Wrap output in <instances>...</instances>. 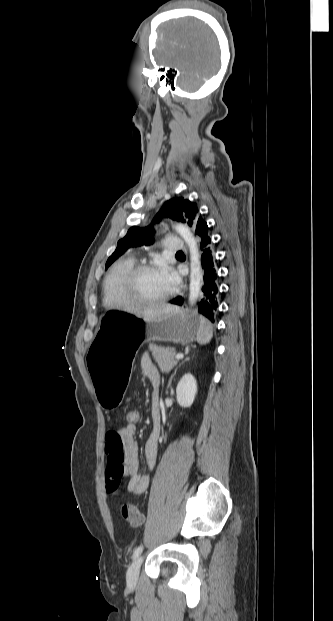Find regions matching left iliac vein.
<instances>
[{
	"instance_id": "1",
	"label": "left iliac vein",
	"mask_w": 333,
	"mask_h": 621,
	"mask_svg": "<svg viewBox=\"0 0 333 621\" xmlns=\"http://www.w3.org/2000/svg\"><path fill=\"white\" fill-rule=\"evenodd\" d=\"M142 559V556L137 557L128 571L127 579L130 585H135L137 582Z\"/></svg>"
}]
</instances>
